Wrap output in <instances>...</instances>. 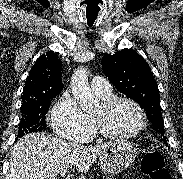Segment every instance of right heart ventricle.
Returning <instances> with one entry per match:
<instances>
[{"instance_id": "right-heart-ventricle-1", "label": "right heart ventricle", "mask_w": 183, "mask_h": 179, "mask_svg": "<svg viewBox=\"0 0 183 179\" xmlns=\"http://www.w3.org/2000/svg\"><path fill=\"white\" fill-rule=\"evenodd\" d=\"M102 100H106V99H108V98H110L111 97V94H108V95H99V94H97Z\"/></svg>"}]
</instances>
